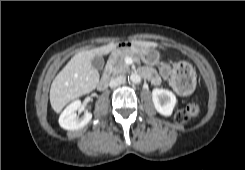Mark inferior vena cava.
Returning a JSON list of instances; mask_svg holds the SVG:
<instances>
[{"mask_svg": "<svg viewBox=\"0 0 245 170\" xmlns=\"http://www.w3.org/2000/svg\"><path fill=\"white\" fill-rule=\"evenodd\" d=\"M126 82V77L125 76H117L114 77L110 80L109 86L111 88L116 87L118 85L124 84Z\"/></svg>", "mask_w": 245, "mask_h": 170, "instance_id": "1", "label": "inferior vena cava"}]
</instances>
